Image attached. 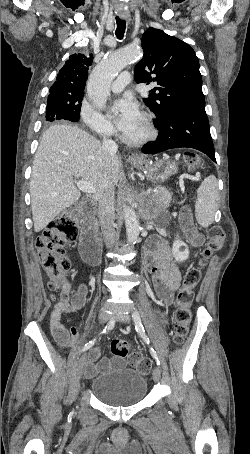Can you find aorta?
Segmentation results:
<instances>
[{
  "label": "aorta",
  "instance_id": "aorta-1",
  "mask_svg": "<svg viewBox=\"0 0 250 454\" xmlns=\"http://www.w3.org/2000/svg\"><path fill=\"white\" fill-rule=\"evenodd\" d=\"M142 50L135 45H129L115 52L109 53L96 65L89 76L87 95L90 101L99 108L106 105L110 95V85L118 73L130 62L141 55ZM123 215L126 226V235L129 243H135L139 237L140 225L135 211L124 206Z\"/></svg>",
  "mask_w": 250,
  "mask_h": 454
}]
</instances>
